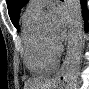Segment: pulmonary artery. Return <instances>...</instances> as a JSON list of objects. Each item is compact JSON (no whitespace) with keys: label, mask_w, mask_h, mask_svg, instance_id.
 Listing matches in <instances>:
<instances>
[{"label":"pulmonary artery","mask_w":89,"mask_h":89,"mask_svg":"<svg viewBox=\"0 0 89 89\" xmlns=\"http://www.w3.org/2000/svg\"><path fill=\"white\" fill-rule=\"evenodd\" d=\"M51 0H32L27 8V12L38 13L45 5L50 4Z\"/></svg>","instance_id":"e3ab8cb5"}]
</instances>
